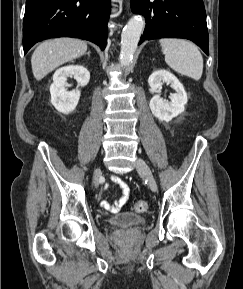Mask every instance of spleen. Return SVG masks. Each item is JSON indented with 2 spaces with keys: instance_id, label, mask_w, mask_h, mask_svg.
Instances as JSON below:
<instances>
[{
  "instance_id": "1",
  "label": "spleen",
  "mask_w": 243,
  "mask_h": 289,
  "mask_svg": "<svg viewBox=\"0 0 243 289\" xmlns=\"http://www.w3.org/2000/svg\"><path fill=\"white\" fill-rule=\"evenodd\" d=\"M167 65L182 75L199 80L203 72V57L198 47L184 39L164 38L160 40Z\"/></svg>"
}]
</instances>
